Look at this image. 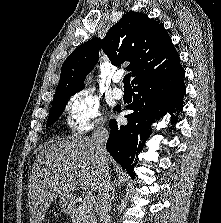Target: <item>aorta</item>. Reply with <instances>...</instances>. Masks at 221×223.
Masks as SVG:
<instances>
[{
    "label": "aorta",
    "instance_id": "1",
    "mask_svg": "<svg viewBox=\"0 0 221 223\" xmlns=\"http://www.w3.org/2000/svg\"><path fill=\"white\" fill-rule=\"evenodd\" d=\"M91 79V77H88V80H90Z\"/></svg>",
    "mask_w": 221,
    "mask_h": 223
}]
</instances>
